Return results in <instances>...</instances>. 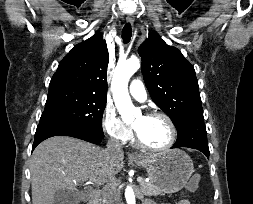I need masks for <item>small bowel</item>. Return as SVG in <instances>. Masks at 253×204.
<instances>
[{
	"label": "small bowel",
	"mask_w": 253,
	"mask_h": 204,
	"mask_svg": "<svg viewBox=\"0 0 253 204\" xmlns=\"http://www.w3.org/2000/svg\"><path fill=\"white\" fill-rule=\"evenodd\" d=\"M176 204H191L190 203V201L189 200H187V199H182V200H180L178 203H176Z\"/></svg>",
	"instance_id": "obj_1"
}]
</instances>
